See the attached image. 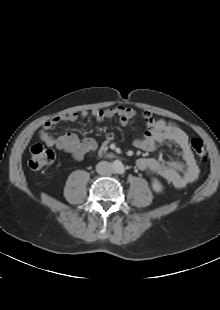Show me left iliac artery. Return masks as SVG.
I'll return each instance as SVG.
<instances>
[{"label":"left iliac artery","mask_w":220,"mask_h":310,"mask_svg":"<svg viewBox=\"0 0 220 310\" xmlns=\"http://www.w3.org/2000/svg\"><path fill=\"white\" fill-rule=\"evenodd\" d=\"M118 173L119 174H124L125 173V169L123 166H121L119 169H118Z\"/></svg>","instance_id":"44dca946"}]
</instances>
